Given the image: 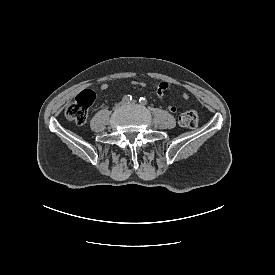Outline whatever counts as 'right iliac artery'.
Returning <instances> with one entry per match:
<instances>
[{
  "instance_id": "1",
  "label": "right iliac artery",
  "mask_w": 275,
  "mask_h": 275,
  "mask_svg": "<svg viewBox=\"0 0 275 275\" xmlns=\"http://www.w3.org/2000/svg\"><path fill=\"white\" fill-rule=\"evenodd\" d=\"M131 100H132V96L131 95H126V96L123 97L122 102L123 103H129V102H131Z\"/></svg>"
}]
</instances>
